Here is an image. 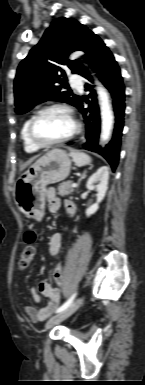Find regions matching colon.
Instances as JSON below:
<instances>
[{"label": "colon", "instance_id": "1", "mask_svg": "<svg viewBox=\"0 0 145 385\" xmlns=\"http://www.w3.org/2000/svg\"><path fill=\"white\" fill-rule=\"evenodd\" d=\"M36 238H37V234L34 230L31 229L26 231L24 235V241L26 245L22 249L18 260V266L21 270L26 269L34 259L35 251H36L34 243L36 241ZM56 272L57 273L60 272L59 267H57Z\"/></svg>", "mask_w": 145, "mask_h": 385}]
</instances>
